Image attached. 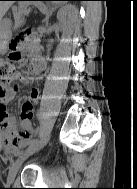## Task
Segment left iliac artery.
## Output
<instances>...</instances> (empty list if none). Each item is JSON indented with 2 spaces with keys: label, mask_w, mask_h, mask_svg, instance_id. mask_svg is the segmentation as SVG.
<instances>
[{
  "label": "left iliac artery",
  "mask_w": 137,
  "mask_h": 189,
  "mask_svg": "<svg viewBox=\"0 0 137 189\" xmlns=\"http://www.w3.org/2000/svg\"><path fill=\"white\" fill-rule=\"evenodd\" d=\"M38 140L37 139H33L29 142V148H32L33 146H35V144H37Z\"/></svg>",
  "instance_id": "1"
}]
</instances>
